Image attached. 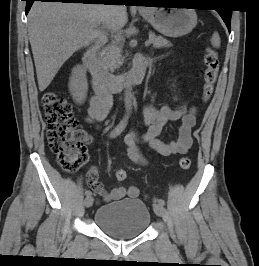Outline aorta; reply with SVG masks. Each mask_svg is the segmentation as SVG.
<instances>
[{
    "label": "aorta",
    "mask_w": 259,
    "mask_h": 266,
    "mask_svg": "<svg viewBox=\"0 0 259 266\" xmlns=\"http://www.w3.org/2000/svg\"><path fill=\"white\" fill-rule=\"evenodd\" d=\"M124 95H125L124 102H125L126 112L129 114L132 109V100H133L131 81H127L125 83V94Z\"/></svg>",
    "instance_id": "obj_1"
}]
</instances>
